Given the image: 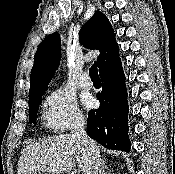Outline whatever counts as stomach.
<instances>
[{
	"label": "stomach",
	"mask_w": 175,
	"mask_h": 174,
	"mask_svg": "<svg viewBox=\"0 0 175 174\" xmlns=\"http://www.w3.org/2000/svg\"><path fill=\"white\" fill-rule=\"evenodd\" d=\"M29 174H42V173L41 172H38V171H32Z\"/></svg>",
	"instance_id": "1"
}]
</instances>
